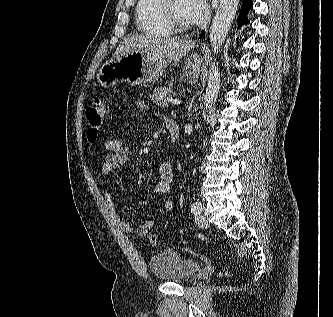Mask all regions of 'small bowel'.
I'll use <instances>...</instances> for the list:
<instances>
[{"label":"small bowel","instance_id":"small-bowel-1","mask_svg":"<svg viewBox=\"0 0 333 317\" xmlns=\"http://www.w3.org/2000/svg\"><path fill=\"white\" fill-rule=\"evenodd\" d=\"M133 107L138 112H145L148 109L147 103L143 99H136L133 102ZM103 146L107 151V155L105 156L101 167V175L103 177H108L114 171L126 165L130 156V149L121 138L106 139L103 142ZM173 180L174 172L172 164L170 162H163L159 167V182L156 184L154 192L164 195L169 194L171 192ZM103 196L120 229L128 234L135 232L138 236H145L149 233L156 223L164 218L173 208L172 200L166 199L163 211L157 218L146 220L134 229L119 216L114 199L106 188H103Z\"/></svg>","mask_w":333,"mask_h":317}]
</instances>
